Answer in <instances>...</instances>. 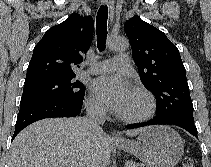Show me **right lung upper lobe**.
I'll return each instance as SVG.
<instances>
[{
  "label": "right lung upper lobe",
  "instance_id": "obj_1",
  "mask_svg": "<svg viewBox=\"0 0 211 167\" xmlns=\"http://www.w3.org/2000/svg\"><path fill=\"white\" fill-rule=\"evenodd\" d=\"M93 30L92 17L76 13L51 27L34 48L25 81L48 76H75V66L83 61Z\"/></svg>",
  "mask_w": 211,
  "mask_h": 167
}]
</instances>
